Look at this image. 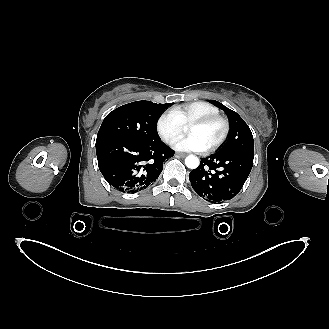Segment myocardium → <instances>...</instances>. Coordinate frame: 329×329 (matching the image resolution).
Returning a JSON list of instances; mask_svg holds the SVG:
<instances>
[{
	"label": "myocardium",
	"mask_w": 329,
	"mask_h": 329,
	"mask_svg": "<svg viewBox=\"0 0 329 329\" xmlns=\"http://www.w3.org/2000/svg\"><path fill=\"white\" fill-rule=\"evenodd\" d=\"M212 122H220L222 124L223 130H222V134H221L220 138L212 146L205 149V151L208 153L216 151L226 141V139L229 135V132H230V123H229L228 119H226L225 117H223L219 114H215V115H207V116L196 118L188 124V128H189L192 126L206 125V124H209Z\"/></svg>",
	"instance_id": "obj_1"
}]
</instances>
